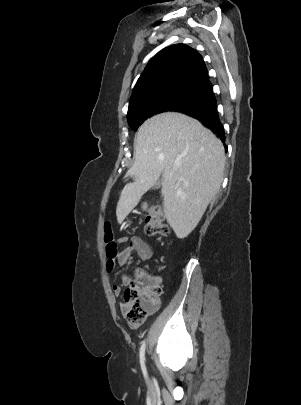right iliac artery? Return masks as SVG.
<instances>
[{"label": "right iliac artery", "mask_w": 301, "mask_h": 405, "mask_svg": "<svg viewBox=\"0 0 301 405\" xmlns=\"http://www.w3.org/2000/svg\"><path fill=\"white\" fill-rule=\"evenodd\" d=\"M145 349H146V342L143 341L140 347V363L144 374L146 375V368H145Z\"/></svg>", "instance_id": "obj_1"}]
</instances>
